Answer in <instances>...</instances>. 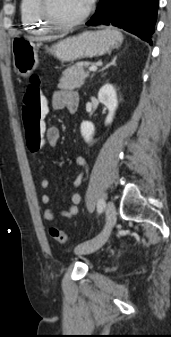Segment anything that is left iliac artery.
Segmentation results:
<instances>
[{
  "mask_svg": "<svg viewBox=\"0 0 171 337\" xmlns=\"http://www.w3.org/2000/svg\"><path fill=\"white\" fill-rule=\"evenodd\" d=\"M104 207H105V201L103 199H100L98 201V204H97L98 212L101 213L103 211Z\"/></svg>",
  "mask_w": 171,
  "mask_h": 337,
  "instance_id": "left-iliac-artery-1",
  "label": "left iliac artery"
}]
</instances>
